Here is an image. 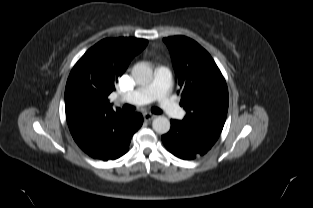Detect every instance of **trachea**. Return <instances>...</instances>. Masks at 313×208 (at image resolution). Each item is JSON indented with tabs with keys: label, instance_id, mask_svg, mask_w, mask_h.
Segmentation results:
<instances>
[{
	"label": "trachea",
	"instance_id": "1",
	"mask_svg": "<svg viewBox=\"0 0 313 208\" xmlns=\"http://www.w3.org/2000/svg\"><path fill=\"white\" fill-rule=\"evenodd\" d=\"M123 109H124V110H127V111H134V110H135V107L132 106V105H129V104H125V105L123 106ZM152 112H153L154 114H161V113H162L161 109H159V108H157V107L152 108Z\"/></svg>",
	"mask_w": 313,
	"mask_h": 208
}]
</instances>
